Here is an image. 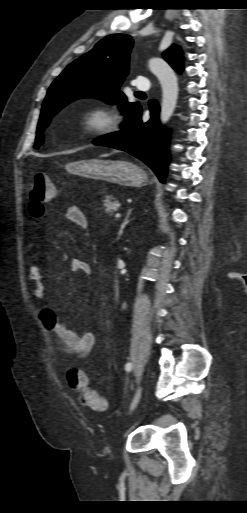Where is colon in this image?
<instances>
[{
    "label": "colon",
    "instance_id": "5ec220e1",
    "mask_svg": "<svg viewBox=\"0 0 247 513\" xmlns=\"http://www.w3.org/2000/svg\"><path fill=\"white\" fill-rule=\"evenodd\" d=\"M55 195V188L49 177L45 174H37L29 188V206L30 215L37 219L43 216L46 204H48ZM69 387L81 394L82 402L95 411H104L106 401L99 396L89 385L87 375L79 370H70L67 374Z\"/></svg>",
    "mask_w": 247,
    "mask_h": 513
}]
</instances>
